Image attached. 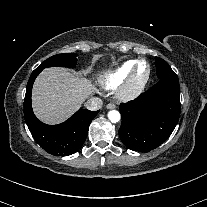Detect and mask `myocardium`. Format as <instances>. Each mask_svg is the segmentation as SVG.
Masks as SVG:
<instances>
[{
  "instance_id": "obj_1",
  "label": "myocardium",
  "mask_w": 207,
  "mask_h": 207,
  "mask_svg": "<svg viewBox=\"0 0 207 207\" xmlns=\"http://www.w3.org/2000/svg\"><path fill=\"white\" fill-rule=\"evenodd\" d=\"M141 64L146 66V73L142 78L136 76L137 67ZM151 76V67L145 60L135 61L132 65L129 75L125 83L120 88L118 97L121 100L127 101L137 97L147 85Z\"/></svg>"
}]
</instances>
